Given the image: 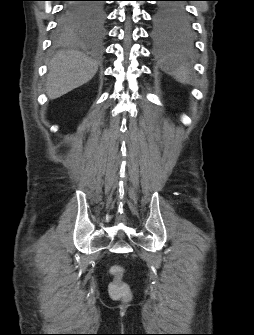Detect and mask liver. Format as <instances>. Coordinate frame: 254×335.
<instances>
[{"label": "liver", "instance_id": "6515ba94", "mask_svg": "<svg viewBox=\"0 0 254 335\" xmlns=\"http://www.w3.org/2000/svg\"><path fill=\"white\" fill-rule=\"evenodd\" d=\"M98 71V63L80 51L57 53L50 62L46 92L56 99L87 83Z\"/></svg>", "mask_w": 254, "mask_h": 335}]
</instances>
